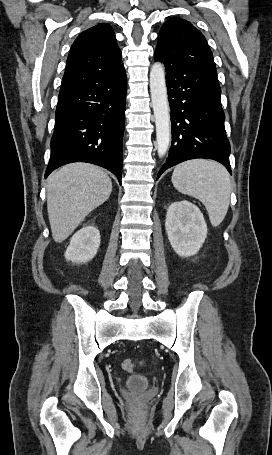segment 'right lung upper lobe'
Segmentation results:
<instances>
[{"mask_svg":"<svg viewBox=\"0 0 272 455\" xmlns=\"http://www.w3.org/2000/svg\"><path fill=\"white\" fill-rule=\"evenodd\" d=\"M124 73L113 29L98 24L82 32L71 46L59 95Z\"/></svg>","mask_w":272,"mask_h":455,"instance_id":"cb5924a9","label":"right lung upper lobe"}]
</instances>
